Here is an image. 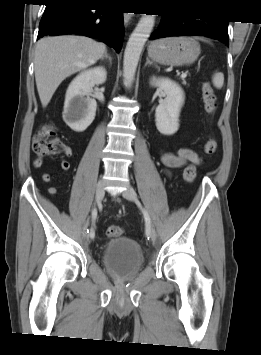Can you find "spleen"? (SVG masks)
Listing matches in <instances>:
<instances>
[{
  "mask_svg": "<svg viewBox=\"0 0 261 355\" xmlns=\"http://www.w3.org/2000/svg\"><path fill=\"white\" fill-rule=\"evenodd\" d=\"M214 87L221 89L224 84V75L221 72H216L212 77Z\"/></svg>",
  "mask_w": 261,
  "mask_h": 355,
  "instance_id": "spleen-1",
  "label": "spleen"
}]
</instances>
